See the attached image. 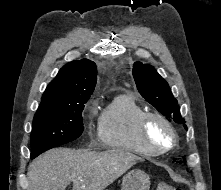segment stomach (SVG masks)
I'll use <instances>...</instances> for the list:
<instances>
[{
    "label": "stomach",
    "instance_id": "obj_1",
    "mask_svg": "<svg viewBox=\"0 0 221 190\" xmlns=\"http://www.w3.org/2000/svg\"><path fill=\"white\" fill-rule=\"evenodd\" d=\"M150 178L142 170L135 169L127 173L122 181L121 190H149Z\"/></svg>",
    "mask_w": 221,
    "mask_h": 190
}]
</instances>
